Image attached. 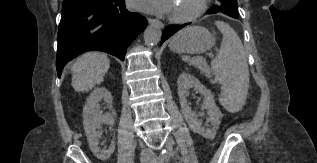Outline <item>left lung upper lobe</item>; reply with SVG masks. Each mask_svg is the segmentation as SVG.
Segmentation results:
<instances>
[{
    "instance_id": "1",
    "label": "left lung upper lobe",
    "mask_w": 317,
    "mask_h": 163,
    "mask_svg": "<svg viewBox=\"0 0 317 163\" xmlns=\"http://www.w3.org/2000/svg\"><path fill=\"white\" fill-rule=\"evenodd\" d=\"M221 5L212 7L209 11L211 14L222 11L224 14L231 17H238L237 0H219Z\"/></svg>"
}]
</instances>
